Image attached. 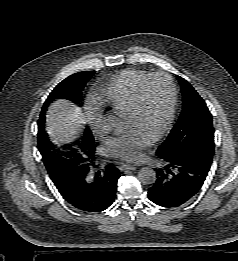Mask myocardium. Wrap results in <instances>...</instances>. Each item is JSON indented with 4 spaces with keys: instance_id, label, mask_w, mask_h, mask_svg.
<instances>
[{
    "instance_id": "myocardium-1",
    "label": "myocardium",
    "mask_w": 238,
    "mask_h": 261,
    "mask_svg": "<svg viewBox=\"0 0 238 261\" xmlns=\"http://www.w3.org/2000/svg\"><path fill=\"white\" fill-rule=\"evenodd\" d=\"M158 78L164 79L166 81V83L168 84L169 93H170V107H169V112L167 114V117H166L162 127L156 132V134L153 137L154 141L159 140L168 132V130L171 128L174 118H175L177 104H178V92H177V87H176L173 77L166 72H155V73L148 75L138 86L136 95L134 98V102L128 110L129 113H133V114L140 113V111L142 110V107H143V100H144V95H145L147 86L149 85V83L151 81L158 79Z\"/></svg>"
}]
</instances>
